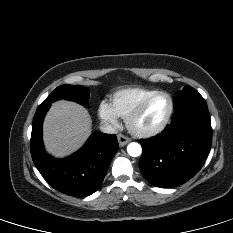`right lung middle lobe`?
Returning a JSON list of instances; mask_svg holds the SVG:
<instances>
[{
    "label": "right lung middle lobe",
    "instance_id": "right-lung-middle-lobe-1",
    "mask_svg": "<svg viewBox=\"0 0 233 233\" xmlns=\"http://www.w3.org/2000/svg\"><path fill=\"white\" fill-rule=\"evenodd\" d=\"M89 98V89L83 86L62 85L57 87L41 105H51L52 102L59 99L75 101L87 105Z\"/></svg>",
    "mask_w": 233,
    "mask_h": 233
}]
</instances>
